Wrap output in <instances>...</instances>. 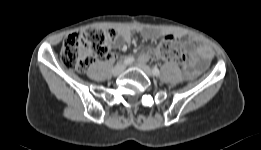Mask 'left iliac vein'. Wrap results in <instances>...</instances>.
I'll return each instance as SVG.
<instances>
[{"label": "left iliac vein", "mask_w": 261, "mask_h": 150, "mask_svg": "<svg viewBox=\"0 0 261 150\" xmlns=\"http://www.w3.org/2000/svg\"><path fill=\"white\" fill-rule=\"evenodd\" d=\"M138 68L143 72L145 73L147 76L151 77L153 74H152V70L149 66H146L144 64V62L142 61H139L137 64Z\"/></svg>", "instance_id": "4c4485c4"}]
</instances>
